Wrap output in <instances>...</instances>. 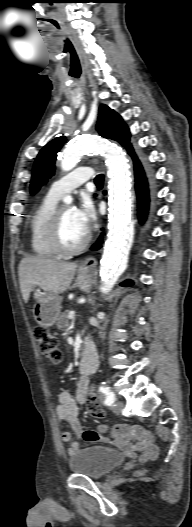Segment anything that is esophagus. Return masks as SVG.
Masks as SVG:
<instances>
[{
  "label": "esophagus",
  "mask_w": 192,
  "mask_h": 527,
  "mask_svg": "<svg viewBox=\"0 0 192 527\" xmlns=\"http://www.w3.org/2000/svg\"><path fill=\"white\" fill-rule=\"evenodd\" d=\"M96 265H97V260L94 257L90 256V257H86L81 262L79 269L84 272L91 271L96 267Z\"/></svg>",
  "instance_id": "1"
}]
</instances>
